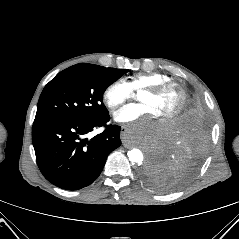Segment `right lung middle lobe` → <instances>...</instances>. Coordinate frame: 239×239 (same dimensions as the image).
Returning <instances> with one entry per match:
<instances>
[{"instance_id":"obj_1","label":"right lung middle lobe","mask_w":239,"mask_h":239,"mask_svg":"<svg viewBox=\"0 0 239 239\" xmlns=\"http://www.w3.org/2000/svg\"><path fill=\"white\" fill-rule=\"evenodd\" d=\"M127 71L82 64L63 70L43 89L35 119L95 120L108 114L102 102L104 90Z\"/></svg>"}]
</instances>
